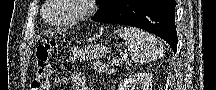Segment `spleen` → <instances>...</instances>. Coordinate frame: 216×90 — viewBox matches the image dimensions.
Segmentation results:
<instances>
[{"instance_id": "obj_1", "label": "spleen", "mask_w": 216, "mask_h": 90, "mask_svg": "<svg viewBox=\"0 0 216 90\" xmlns=\"http://www.w3.org/2000/svg\"><path fill=\"white\" fill-rule=\"evenodd\" d=\"M115 34L125 40L131 60L136 64H147V62H154L160 58L162 50L159 40L156 36L139 30V28H117Z\"/></svg>"}]
</instances>
